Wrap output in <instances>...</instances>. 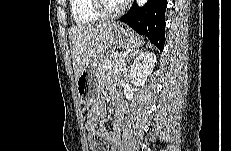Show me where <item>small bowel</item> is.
I'll list each match as a JSON object with an SVG mask.
<instances>
[{
    "label": "small bowel",
    "mask_w": 231,
    "mask_h": 151,
    "mask_svg": "<svg viewBox=\"0 0 231 151\" xmlns=\"http://www.w3.org/2000/svg\"><path fill=\"white\" fill-rule=\"evenodd\" d=\"M111 91L116 94L118 109L116 117L114 118L109 130H99L96 128L95 123L98 120L104 119L106 115V107L104 102H99L96 104L88 113L86 119V129L88 131V142L91 151H117L118 144L120 140L122 115L124 111V106L118 98L117 93L111 88ZM96 137H100L109 143V147L100 148Z\"/></svg>",
    "instance_id": "1"
}]
</instances>
